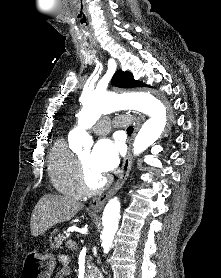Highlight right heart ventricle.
<instances>
[{"mask_svg": "<svg viewBox=\"0 0 221 278\" xmlns=\"http://www.w3.org/2000/svg\"><path fill=\"white\" fill-rule=\"evenodd\" d=\"M48 173L52 185L60 194L74 199L84 196L78 179L77 156L63 138L52 145L48 155Z\"/></svg>", "mask_w": 221, "mask_h": 278, "instance_id": "1", "label": "right heart ventricle"}]
</instances>
